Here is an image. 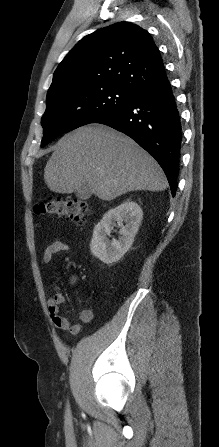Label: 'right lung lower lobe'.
I'll return each instance as SVG.
<instances>
[{
	"label": "right lung lower lobe",
	"mask_w": 219,
	"mask_h": 447,
	"mask_svg": "<svg viewBox=\"0 0 219 447\" xmlns=\"http://www.w3.org/2000/svg\"><path fill=\"white\" fill-rule=\"evenodd\" d=\"M93 123L104 124L125 133L148 151L164 170L172 195H175L182 125L168 79L136 95L127 105Z\"/></svg>",
	"instance_id": "98d812e1"
}]
</instances>
